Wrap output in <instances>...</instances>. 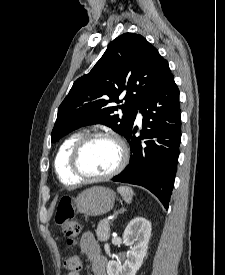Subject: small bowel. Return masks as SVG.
<instances>
[{"label": "small bowel", "instance_id": "c3829d8e", "mask_svg": "<svg viewBox=\"0 0 225 275\" xmlns=\"http://www.w3.org/2000/svg\"><path fill=\"white\" fill-rule=\"evenodd\" d=\"M80 249L86 255L92 270V275H106V258L101 254L100 246L95 236L90 232L82 234ZM67 275H80L79 272H69Z\"/></svg>", "mask_w": 225, "mask_h": 275}]
</instances>
